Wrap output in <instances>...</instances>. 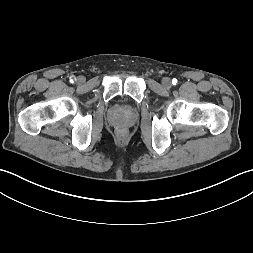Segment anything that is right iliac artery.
<instances>
[{"instance_id": "82829eb1", "label": "right iliac artery", "mask_w": 253, "mask_h": 253, "mask_svg": "<svg viewBox=\"0 0 253 253\" xmlns=\"http://www.w3.org/2000/svg\"><path fill=\"white\" fill-rule=\"evenodd\" d=\"M75 80H76V77H75L74 75H72V76L70 77V82L73 83Z\"/></svg>"}]
</instances>
